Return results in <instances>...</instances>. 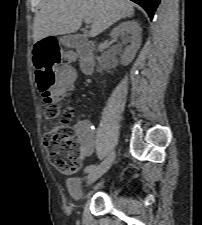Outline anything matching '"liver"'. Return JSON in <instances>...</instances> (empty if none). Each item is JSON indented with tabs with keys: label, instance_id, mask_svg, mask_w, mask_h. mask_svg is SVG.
I'll list each match as a JSON object with an SVG mask.
<instances>
[{
	"label": "liver",
	"instance_id": "6515ba94",
	"mask_svg": "<svg viewBox=\"0 0 202 225\" xmlns=\"http://www.w3.org/2000/svg\"><path fill=\"white\" fill-rule=\"evenodd\" d=\"M133 14V4L127 0H44L34 18L33 39L76 32L85 18L91 19L90 36L96 37Z\"/></svg>",
	"mask_w": 202,
	"mask_h": 225
}]
</instances>
